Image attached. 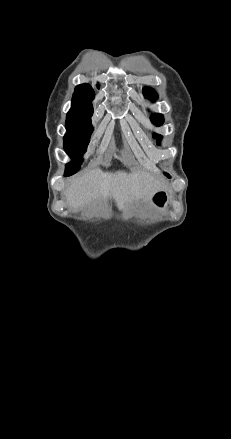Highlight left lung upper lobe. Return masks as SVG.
Here are the masks:
<instances>
[{
	"label": "left lung upper lobe",
	"instance_id": "5c2ea615",
	"mask_svg": "<svg viewBox=\"0 0 231 439\" xmlns=\"http://www.w3.org/2000/svg\"><path fill=\"white\" fill-rule=\"evenodd\" d=\"M143 94L147 98L152 99V100H155L157 98V94L155 93V91L152 88H149V87H146V88L143 89ZM150 119L157 126H159V125H161L163 123V116L161 114H158V113L152 114ZM154 137H157V142L159 143L160 139H161V136L160 135H158V136L154 135Z\"/></svg>",
	"mask_w": 231,
	"mask_h": 439
}]
</instances>
